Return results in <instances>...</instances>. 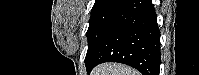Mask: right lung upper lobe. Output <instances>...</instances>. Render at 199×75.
Returning a JSON list of instances; mask_svg holds the SVG:
<instances>
[{
	"label": "right lung upper lobe",
	"mask_w": 199,
	"mask_h": 75,
	"mask_svg": "<svg viewBox=\"0 0 199 75\" xmlns=\"http://www.w3.org/2000/svg\"><path fill=\"white\" fill-rule=\"evenodd\" d=\"M109 1H111V0H96L94 6H97V5H100L102 3L109 2Z\"/></svg>",
	"instance_id": "right-lung-upper-lobe-1"
}]
</instances>
